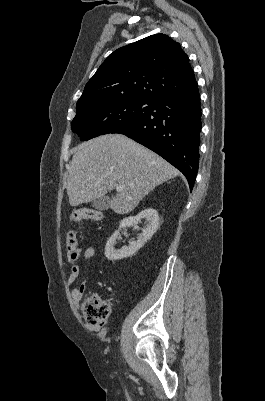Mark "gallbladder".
I'll list each match as a JSON object with an SVG mask.
<instances>
[{"mask_svg":"<svg viewBox=\"0 0 265 401\" xmlns=\"http://www.w3.org/2000/svg\"><path fill=\"white\" fill-rule=\"evenodd\" d=\"M92 207L97 209V211H107L110 207L108 196H99V198H95V201H92Z\"/></svg>","mask_w":265,"mask_h":401,"instance_id":"1","label":"gallbladder"}]
</instances>
